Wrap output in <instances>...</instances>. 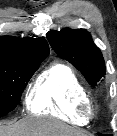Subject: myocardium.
<instances>
[{
    "label": "myocardium",
    "instance_id": "f54148a6",
    "mask_svg": "<svg viewBox=\"0 0 117 136\" xmlns=\"http://www.w3.org/2000/svg\"><path fill=\"white\" fill-rule=\"evenodd\" d=\"M95 112V107L89 99L82 103L78 108L79 115L86 120L94 118Z\"/></svg>",
    "mask_w": 117,
    "mask_h": 136
}]
</instances>
